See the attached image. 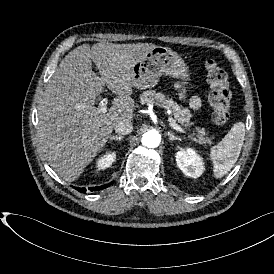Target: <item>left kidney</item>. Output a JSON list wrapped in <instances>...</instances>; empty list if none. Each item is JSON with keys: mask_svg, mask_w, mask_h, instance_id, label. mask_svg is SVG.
Here are the masks:
<instances>
[{"mask_svg": "<svg viewBox=\"0 0 274 274\" xmlns=\"http://www.w3.org/2000/svg\"><path fill=\"white\" fill-rule=\"evenodd\" d=\"M175 157L177 166L186 176L198 178L205 170L203 158L192 148L178 151Z\"/></svg>", "mask_w": 274, "mask_h": 274, "instance_id": "obj_1", "label": "left kidney"}]
</instances>
